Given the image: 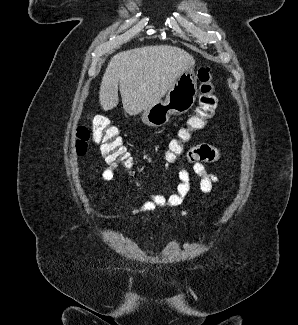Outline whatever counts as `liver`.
Returning <instances> with one entry per match:
<instances>
[{
    "label": "liver",
    "mask_w": 298,
    "mask_h": 325,
    "mask_svg": "<svg viewBox=\"0 0 298 325\" xmlns=\"http://www.w3.org/2000/svg\"><path fill=\"white\" fill-rule=\"evenodd\" d=\"M195 58L180 46L150 44L117 52L110 58L102 76L99 102L111 110L121 92L125 112L135 116L160 102L178 76L194 66Z\"/></svg>",
    "instance_id": "1"
}]
</instances>
